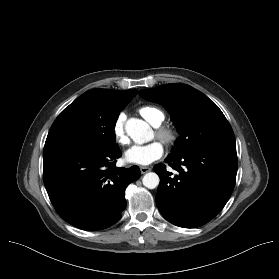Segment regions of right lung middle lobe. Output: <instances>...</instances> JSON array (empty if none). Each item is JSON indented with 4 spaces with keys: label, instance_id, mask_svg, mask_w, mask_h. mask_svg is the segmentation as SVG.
Instances as JSON below:
<instances>
[{
    "label": "right lung middle lobe",
    "instance_id": "obj_1",
    "mask_svg": "<svg viewBox=\"0 0 279 279\" xmlns=\"http://www.w3.org/2000/svg\"><path fill=\"white\" fill-rule=\"evenodd\" d=\"M126 105H101L82 94L56 118L44 151L70 146L101 152L117 148L114 127Z\"/></svg>",
    "mask_w": 279,
    "mask_h": 279
}]
</instances>
